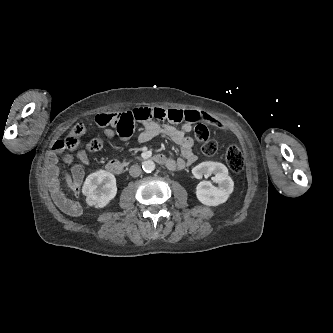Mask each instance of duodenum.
I'll return each instance as SVG.
<instances>
[{
	"label": "duodenum",
	"mask_w": 333,
	"mask_h": 333,
	"mask_svg": "<svg viewBox=\"0 0 333 333\" xmlns=\"http://www.w3.org/2000/svg\"><path fill=\"white\" fill-rule=\"evenodd\" d=\"M152 158L160 164L167 163V158L162 154H156L152 156ZM106 169L108 172H111L115 175H121L125 171L126 165L116 159H112L106 164Z\"/></svg>",
	"instance_id": "410a0bca"
}]
</instances>
